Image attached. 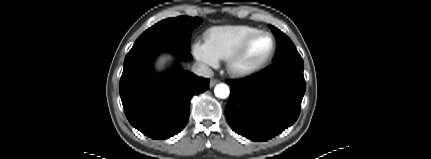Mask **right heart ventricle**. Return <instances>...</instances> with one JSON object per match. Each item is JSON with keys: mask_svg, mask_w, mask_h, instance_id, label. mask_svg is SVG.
Wrapping results in <instances>:
<instances>
[{"mask_svg": "<svg viewBox=\"0 0 431 159\" xmlns=\"http://www.w3.org/2000/svg\"><path fill=\"white\" fill-rule=\"evenodd\" d=\"M258 30L250 25L216 26L205 32L204 39L218 59L226 60L245 37Z\"/></svg>", "mask_w": 431, "mask_h": 159, "instance_id": "1", "label": "right heart ventricle"}]
</instances>
